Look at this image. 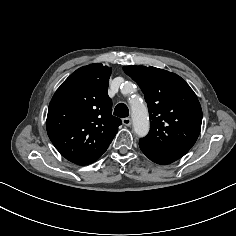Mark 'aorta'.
<instances>
[{
	"instance_id": "1",
	"label": "aorta",
	"mask_w": 236,
	"mask_h": 236,
	"mask_svg": "<svg viewBox=\"0 0 236 236\" xmlns=\"http://www.w3.org/2000/svg\"><path fill=\"white\" fill-rule=\"evenodd\" d=\"M131 117L135 134L144 137L149 132L148 111L144 103L132 105Z\"/></svg>"
}]
</instances>
